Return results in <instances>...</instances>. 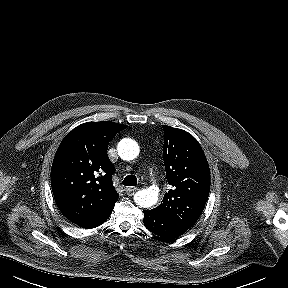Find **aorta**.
Segmentation results:
<instances>
[{"label":"aorta","instance_id":"obj_1","mask_svg":"<svg viewBox=\"0 0 288 288\" xmlns=\"http://www.w3.org/2000/svg\"><path fill=\"white\" fill-rule=\"evenodd\" d=\"M139 146L136 141L125 138L118 144V154L123 160H133L139 155ZM134 201L143 208L152 207L158 201V190L156 187H149L137 191L134 195Z\"/></svg>","mask_w":288,"mask_h":288}]
</instances>
